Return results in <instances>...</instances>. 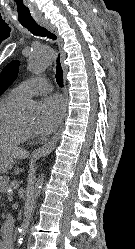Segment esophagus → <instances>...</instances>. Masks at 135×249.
Masks as SVG:
<instances>
[{
    "label": "esophagus",
    "mask_w": 135,
    "mask_h": 249,
    "mask_svg": "<svg viewBox=\"0 0 135 249\" xmlns=\"http://www.w3.org/2000/svg\"><path fill=\"white\" fill-rule=\"evenodd\" d=\"M38 23L41 24L43 27H45L50 32H52L53 34H55V36L57 38L58 48L60 51V62H61L62 68L64 70V83H66V76H65L66 75V68H65V64H64V60H65L66 55H65V52L63 50V40L59 36L58 31L55 28V26L52 25V23L49 20L42 19V20H39ZM66 114H67V100L65 103L64 117L66 116ZM62 128H63V123L60 126L57 133L48 142H46L42 147H39L33 151L32 157L39 158L41 156H46V155L50 154L56 146V143L59 139Z\"/></svg>",
    "instance_id": "34e87169"
}]
</instances>
